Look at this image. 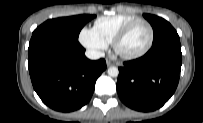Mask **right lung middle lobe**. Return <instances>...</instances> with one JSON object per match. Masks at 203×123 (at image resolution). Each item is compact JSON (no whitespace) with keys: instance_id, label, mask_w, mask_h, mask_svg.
Wrapping results in <instances>:
<instances>
[{"instance_id":"dd1d6c3e","label":"right lung middle lobe","mask_w":203,"mask_h":123,"mask_svg":"<svg viewBox=\"0 0 203 123\" xmlns=\"http://www.w3.org/2000/svg\"><path fill=\"white\" fill-rule=\"evenodd\" d=\"M94 18V15L84 14L71 17L50 19L38 26L33 35L47 34L60 38L78 40L79 33L83 26Z\"/></svg>"}]
</instances>
